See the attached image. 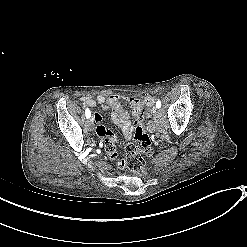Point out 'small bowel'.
I'll return each instance as SVG.
<instances>
[{
  "instance_id": "obj_1",
  "label": "small bowel",
  "mask_w": 247,
  "mask_h": 247,
  "mask_svg": "<svg viewBox=\"0 0 247 247\" xmlns=\"http://www.w3.org/2000/svg\"><path fill=\"white\" fill-rule=\"evenodd\" d=\"M83 107H94L100 105L103 110L111 112V118L115 124H117L124 135L125 138H129L132 134V124L130 122L129 113L123 108V99L118 95H97V96H82L80 98ZM126 101L132 106L131 110L134 113H138L141 110L140 106H151L156 101L153 96H147L140 100L135 97H128ZM95 124H97L96 135L99 138H103L106 141L105 147L108 151L109 158L111 159V164L115 170L120 168V163L116 159L114 152V146L119 145L120 140L113 131L105 130L107 123L101 115L97 112H92ZM94 115L95 118H94Z\"/></svg>"
}]
</instances>
